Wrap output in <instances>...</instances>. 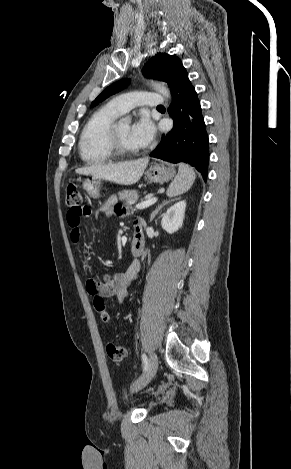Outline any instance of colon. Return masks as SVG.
<instances>
[{
    "label": "colon",
    "instance_id": "colon-1",
    "mask_svg": "<svg viewBox=\"0 0 291 469\" xmlns=\"http://www.w3.org/2000/svg\"><path fill=\"white\" fill-rule=\"evenodd\" d=\"M66 203L67 205L79 212L82 216H87L90 210L82 206V194L80 189L76 185H69L66 191ZM107 299L105 294H97L95 296L94 305L98 313L100 314L101 320L104 323H109V315L105 309L104 301ZM106 353L108 357L114 362H120L126 357V349L124 346L114 343H109L106 346Z\"/></svg>",
    "mask_w": 291,
    "mask_h": 469
}]
</instances>
